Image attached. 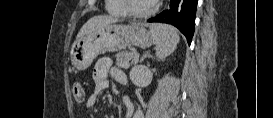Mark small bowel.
I'll use <instances>...</instances> for the list:
<instances>
[{"label": "small bowel", "mask_w": 273, "mask_h": 118, "mask_svg": "<svg viewBox=\"0 0 273 118\" xmlns=\"http://www.w3.org/2000/svg\"><path fill=\"white\" fill-rule=\"evenodd\" d=\"M109 75L122 85L128 84L125 73L121 69L114 67L110 58H100L93 69L94 90L87 98V108H94L96 106L99 94L108 86L107 79ZM125 103L127 107L125 118H143V112L140 107H135L129 100H126Z\"/></svg>", "instance_id": "obj_1"}]
</instances>
